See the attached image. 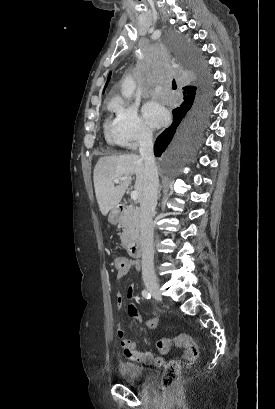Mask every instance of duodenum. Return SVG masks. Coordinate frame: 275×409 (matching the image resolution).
Returning <instances> with one entry per match:
<instances>
[{
    "instance_id": "410a0bca",
    "label": "duodenum",
    "mask_w": 275,
    "mask_h": 409,
    "mask_svg": "<svg viewBox=\"0 0 275 409\" xmlns=\"http://www.w3.org/2000/svg\"><path fill=\"white\" fill-rule=\"evenodd\" d=\"M123 207L120 206L117 212L122 211ZM129 254L136 259H139L142 256V243L139 238L134 239L128 245Z\"/></svg>"
}]
</instances>
